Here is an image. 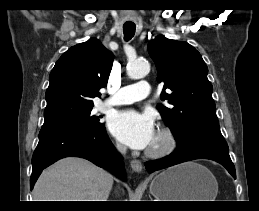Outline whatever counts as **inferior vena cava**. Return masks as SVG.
Listing matches in <instances>:
<instances>
[{"label": "inferior vena cava", "mask_w": 259, "mask_h": 211, "mask_svg": "<svg viewBox=\"0 0 259 211\" xmlns=\"http://www.w3.org/2000/svg\"><path fill=\"white\" fill-rule=\"evenodd\" d=\"M117 150H118L120 153H122V154H125V153H126V147L123 146V145L118 144V145H117Z\"/></svg>", "instance_id": "obj_1"}]
</instances>
